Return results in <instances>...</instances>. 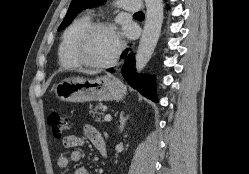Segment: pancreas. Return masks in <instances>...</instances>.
<instances>
[{
	"instance_id": "obj_1",
	"label": "pancreas",
	"mask_w": 249,
	"mask_h": 174,
	"mask_svg": "<svg viewBox=\"0 0 249 174\" xmlns=\"http://www.w3.org/2000/svg\"><path fill=\"white\" fill-rule=\"evenodd\" d=\"M104 108L105 106L102 103H99L93 108V110H91V113H93V116H95V114L98 115V117L96 118V121H100V116L103 115V113L98 112V110H103ZM90 109H92V106H90Z\"/></svg>"
}]
</instances>
